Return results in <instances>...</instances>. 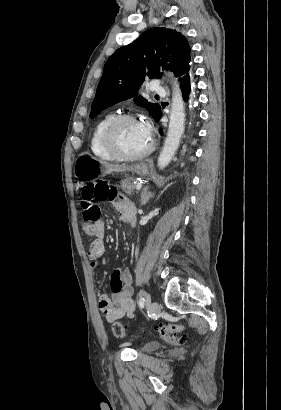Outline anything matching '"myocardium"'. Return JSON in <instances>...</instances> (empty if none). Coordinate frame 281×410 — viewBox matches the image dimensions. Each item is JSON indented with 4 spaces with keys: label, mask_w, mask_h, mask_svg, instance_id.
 <instances>
[{
    "label": "myocardium",
    "mask_w": 281,
    "mask_h": 410,
    "mask_svg": "<svg viewBox=\"0 0 281 410\" xmlns=\"http://www.w3.org/2000/svg\"><path fill=\"white\" fill-rule=\"evenodd\" d=\"M125 121H137V119L130 114H119L107 124L102 133V143L104 148L119 160H136L149 155L154 149V143L150 140L149 146L138 153H127L122 150L115 140V132L118 126Z\"/></svg>",
    "instance_id": "f54148a6"
}]
</instances>
